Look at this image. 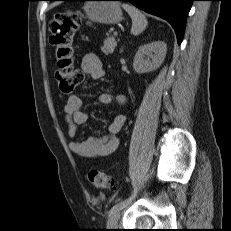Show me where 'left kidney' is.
<instances>
[{"instance_id": "5707ae66", "label": "left kidney", "mask_w": 231, "mask_h": 231, "mask_svg": "<svg viewBox=\"0 0 231 231\" xmlns=\"http://www.w3.org/2000/svg\"><path fill=\"white\" fill-rule=\"evenodd\" d=\"M166 52L167 46L163 41H154L140 46L134 57V70L137 73L156 70L163 63Z\"/></svg>"}]
</instances>
